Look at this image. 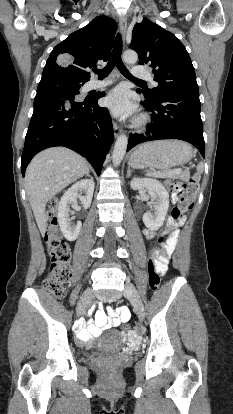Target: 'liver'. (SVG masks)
<instances>
[{
    "instance_id": "liver-1",
    "label": "liver",
    "mask_w": 233,
    "mask_h": 414,
    "mask_svg": "<svg viewBox=\"0 0 233 414\" xmlns=\"http://www.w3.org/2000/svg\"><path fill=\"white\" fill-rule=\"evenodd\" d=\"M88 171L86 159L64 147L46 149L32 159L26 169L25 190L42 235L47 226V202Z\"/></svg>"
}]
</instances>
